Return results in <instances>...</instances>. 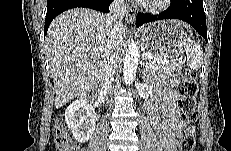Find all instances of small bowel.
I'll return each mask as SVG.
<instances>
[{
  "instance_id": "c3829d8e",
  "label": "small bowel",
  "mask_w": 231,
  "mask_h": 151,
  "mask_svg": "<svg viewBox=\"0 0 231 151\" xmlns=\"http://www.w3.org/2000/svg\"><path fill=\"white\" fill-rule=\"evenodd\" d=\"M175 82L176 78L173 76L159 81L155 86L156 96L148 104L151 124L164 151H176L181 135L187 129L194 131L192 126L188 127L179 120L176 95L173 91Z\"/></svg>"
}]
</instances>
